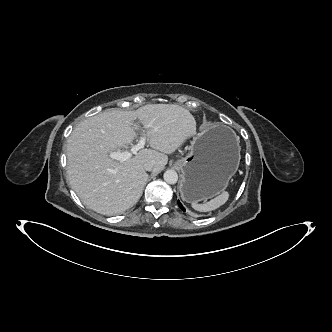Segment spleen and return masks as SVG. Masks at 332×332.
Here are the masks:
<instances>
[{
	"label": "spleen",
	"mask_w": 332,
	"mask_h": 332,
	"mask_svg": "<svg viewBox=\"0 0 332 332\" xmlns=\"http://www.w3.org/2000/svg\"><path fill=\"white\" fill-rule=\"evenodd\" d=\"M228 198H229V193L225 191L220 195H218L217 197L203 204L192 203V207L199 212H211L221 207L223 204H225Z\"/></svg>",
	"instance_id": "3e777b00"
}]
</instances>
